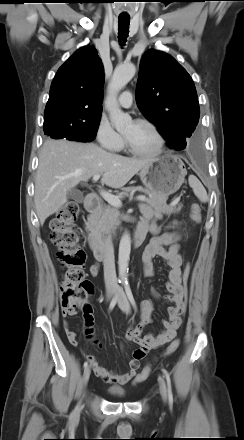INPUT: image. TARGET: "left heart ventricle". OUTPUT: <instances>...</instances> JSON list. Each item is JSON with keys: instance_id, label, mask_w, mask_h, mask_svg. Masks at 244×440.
I'll use <instances>...</instances> for the list:
<instances>
[{"instance_id": "left-heart-ventricle-1", "label": "left heart ventricle", "mask_w": 244, "mask_h": 440, "mask_svg": "<svg viewBox=\"0 0 244 440\" xmlns=\"http://www.w3.org/2000/svg\"><path fill=\"white\" fill-rule=\"evenodd\" d=\"M123 135L140 151L149 152L154 150L157 146V139L153 131L141 124H128L123 131Z\"/></svg>"}]
</instances>
